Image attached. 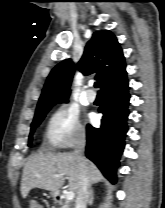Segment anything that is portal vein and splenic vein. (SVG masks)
<instances>
[{"mask_svg": "<svg viewBox=\"0 0 165 208\" xmlns=\"http://www.w3.org/2000/svg\"><path fill=\"white\" fill-rule=\"evenodd\" d=\"M55 176H56V177H59L60 174H56ZM74 197H75V194H74L73 191H68V192H66L65 198H66L67 201L73 200Z\"/></svg>", "mask_w": 165, "mask_h": 208, "instance_id": "portal-vein-and-splenic-vein-1", "label": "portal vein and splenic vein"}]
</instances>
